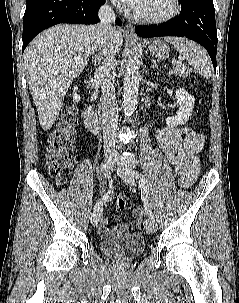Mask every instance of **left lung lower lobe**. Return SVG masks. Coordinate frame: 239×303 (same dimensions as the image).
Wrapping results in <instances>:
<instances>
[{
    "label": "left lung lower lobe",
    "mask_w": 239,
    "mask_h": 303,
    "mask_svg": "<svg viewBox=\"0 0 239 303\" xmlns=\"http://www.w3.org/2000/svg\"><path fill=\"white\" fill-rule=\"evenodd\" d=\"M141 37L182 36L203 45L216 68L217 30L212 0H192L181 5L179 16L166 24L136 26Z\"/></svg>",
    "instance_id": "obj_1"
}]
</instances>
